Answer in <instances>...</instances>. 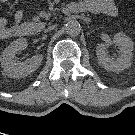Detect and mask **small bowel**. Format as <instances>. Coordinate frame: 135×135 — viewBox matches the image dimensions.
I'll return each instance as SVG.
<instances>
[{
    "instance_id": "small-bowel-1",
    "label": "small bowel",
    "mask_w": 135,
    "mask_h": 135,
    "mask_svg": "<svg viewBox=\"0 0 135 135\" xmlns=\"http://www.w3.org/2000/svg\"><path fill=\"white\" fill-rule=\"evenodd\" d=\"M8 0H0L5 3ZM85 8L92 13H101L110 17H114L118 14V9L113 0H86ZM23 11L17 10L13 16V24H8L6 18H0V39H7L9 37L18 35L21 33L19 26L23 19Z\"/></svg>"
}]
</instances>
